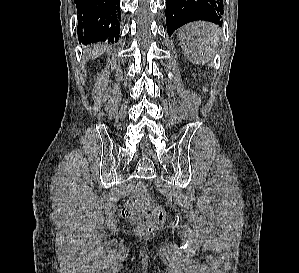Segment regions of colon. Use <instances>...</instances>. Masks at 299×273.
Returning <instances> with one entry per match:
<instances>
[{
    "instance_id": "1",
    "label": "colon",
    "mask_w": 299,
    "mask_h": 273,
    "mask_svg": "<svg viewBox=\"0 0 299 273\" xmlns=\"http://www.w3.org/2000/svg\"><path fill=\"white\" fill-rule=\"evenodd\" d=\"M141 214H145L156 222H163L166 218V213L162 207L148 206L139 196L130 197L122 210L123 217L135 222ZM135 224L137 229L143 233H149L155 229V225L146 220H139Z\"/></svg>"
}]
</instances>
